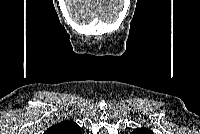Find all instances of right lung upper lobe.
I'll return each instance as SVG.
<instances>
[{"mask_svg":"<svg viewBox=\"0 0 200 134\" xmlns=\"http://www.w3.org/2000/svg\"><path fill=\"white\" fill-rule=\"evenodd\" d=\"M79 126L72 121H62L50 127L46 134H79Z\"/></svg>","mask_w":200,"mask_h":134,"instance_id":"cb5924a9","label":"right lung upper lobe"}]
</instances>
